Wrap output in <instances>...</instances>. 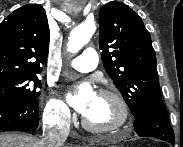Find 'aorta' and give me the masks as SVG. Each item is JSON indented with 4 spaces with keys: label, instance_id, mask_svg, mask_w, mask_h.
Returning a JSON list of instances; mask_svg holds the SVG:
<instances>
[{
    "label": "aorta",
    "instance_id": "1",
    "mask_svg": "<svg viewBox=\"0 0 183 147\" xmlns=\"http://www.w3.org/2000/svg\"><path fill=\"white\" fill-rule=\"evenodd\" d=\"M96 31V24L93 20H86L76 26L68 37L67 49L71 53L78 52L87 44Z\"/></svg>",
    "mask_w": 183,
    "mask_h": 147
}]
</instances>
